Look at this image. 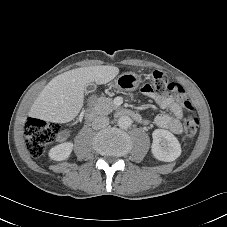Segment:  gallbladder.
<instances>
[{"label": "gallbladder", "instance_id": "bac80fb5", "mask_svg": "<svg viewBox=\"0 0 227 227\" xmlns=\"http://www.w3.org/2000/svg\"><path fill=\"white\" fill-rule=\"evenodd\" d=\"M96 90V85L94 83H90L85 87L86 93H93Z\"/></svg>", "mask_w": 227, "mask_h": 227}]
</instances>
